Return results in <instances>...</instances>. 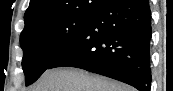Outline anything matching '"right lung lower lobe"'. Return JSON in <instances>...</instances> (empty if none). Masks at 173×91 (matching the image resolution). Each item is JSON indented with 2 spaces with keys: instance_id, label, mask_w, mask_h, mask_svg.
Listing matches in <instances>:
<instances>
[{
  "instance_id": "1",
  "label": "right lung lower lobe",
  "mask_w": 173,
  "mask_h": 91,
  "mask_svg": "<svg viewBox=\"0 0 173 91\" xmlns=\"http://www.w3.org/2000/svg\"><path fill=\"white\" fill-rule=\"evenodd\" d=\"M151 35L148 0H104L81 35L47 69L81 68L150 90Z\"/></svg>"
}]
</instances>
